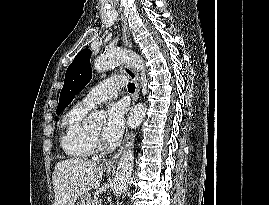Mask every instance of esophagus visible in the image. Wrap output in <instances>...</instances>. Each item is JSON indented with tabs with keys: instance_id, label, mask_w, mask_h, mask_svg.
<instances>
[{
	"instance_id": "esophagus-1",
	"label": "esophagus",
	"mask_w": 269,
	"mask_h": 205,
	"mask_svg": "<svg viewBox=\"0 0 269 205\" xmlns=\"http://www.w3.org/2000/svg\"><path fill=\"white\" fill-rule=\"evenodd\" d=\"M121 25H122L123 43L126 47H132V40H131L130 31H129V28L127 25V21L123 15H121ZM124 72L131 78V80L134 82L135 87H136V91H135L133 98H132V106H134V104L138 101V99L140 97V91H141L140 76L136 71H134L128 65L124 66ZM128 135H129V131L127 129L126 135H125L126 138H125L123 145L120 147V149L117 151V153H115L114 156L106 162L107 165H115L116 164L118 158L121 156V154L123 153V151L125 149Z\"/></svg>"
}]
</instances>
